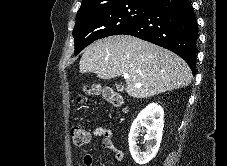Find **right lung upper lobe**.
Here are the masks:
<instances>
[{
	"mask_svg": "<svg viewBox=\"0 0 227 166\" xmlns=\"http://www.w3.org/2000/svg\"><path fill=\"white\" fill-rule=\"evenodd\" d=\"M157 0H82L81 7L77 14L95 11L112 5L126 3H140L145 5H153Z\"/></svg>",
	"mask_w": 227,
	"mask_h": 166,
	"instance_id": "obj_1",
	"label": "right lung upper lobe"
}]
</instances>
